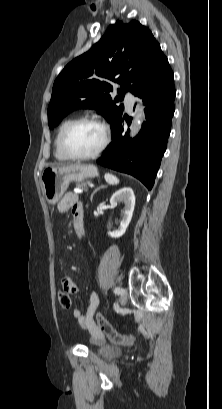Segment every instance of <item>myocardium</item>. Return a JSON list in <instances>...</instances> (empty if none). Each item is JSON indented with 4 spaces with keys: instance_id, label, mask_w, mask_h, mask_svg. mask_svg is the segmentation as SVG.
I'll use <instances>...</instances> for the list:
<instances>
[{
    "instance_id": "f54148a6",
    "label": "myocardium",
    "mask_w": 222,
    "mask_h": 409,
    "mask_svg": "<svg viewBox=\"0 0 222 409\" xmlns=\"http://www.w3.org/2000/svg\"><path fill=\"white\" fill-rule=\"evenodd\" d=\"M85 123L97 124L98 126L102 128L103 133H104L103 142L101 146L94 153L87 154V155H76L69 151L67 147V139L70 133L76 127H78L79 125L85 124ZM110 139H111V131H110L108 124L99 117L87 116V117L76 119L64 130L62 137H61L60 146H61V150L63 154L70 160H90V159H95L99 157L104 152V150L107 148V146L110 143Z\"/></svg>"
}]
</instances>
